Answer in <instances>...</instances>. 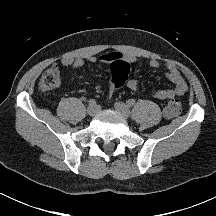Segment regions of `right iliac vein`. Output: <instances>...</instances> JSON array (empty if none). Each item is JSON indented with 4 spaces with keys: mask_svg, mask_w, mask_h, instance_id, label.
<instances>
[{
    "mask_svg": "<svg viewBox=\"0 0 216 216\" xmlns=\"http://www.w3.org/2000/svg\"><path fill=\"white\" fill-rule=\"evenodd\" d=\"M97 112H98V107H97L96 105H94V106H89V107L87 108V113H88V115H90V116H95V115L97 114Z\"/></svg>",
    "mask_w": 216,
    "mask_h": 216,
    "instance_id": "right-iliac-vein-1",
    "label": "right iliac vein"
}]
</instances>
